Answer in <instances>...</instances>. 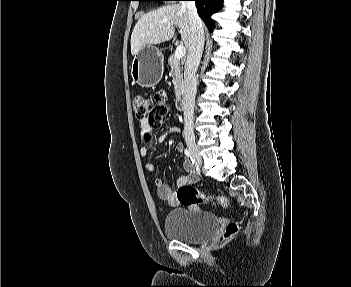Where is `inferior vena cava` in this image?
Returning <instances> with one entry per match:
<instances>
[{"label": "inferior vena cava", "mask_w": 351, "mask_h": 287, "mask_svg": "<svg viewBox=\"0 0 351 287\" xmlns=\"http://www.w3.org/2000/svg\"><path fill=\"white\" fill-rule=\"evenodd\" d=\"M182 6L187 9L191 22L192 36L191 44L188 49L187 59L184 69V130L183 135L186 139H194L193 117L195 96L197 92L196 71L204 48V26L200 19L195 1H182Z\"/></svg>", "instance_id": "602c4592"}]
</instances>
